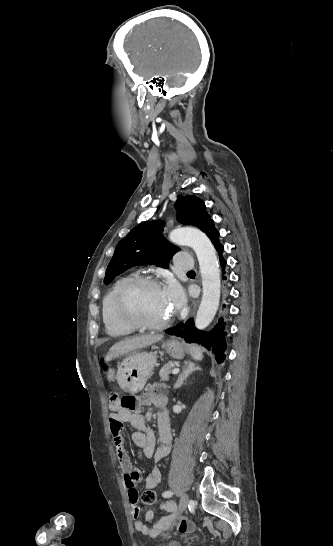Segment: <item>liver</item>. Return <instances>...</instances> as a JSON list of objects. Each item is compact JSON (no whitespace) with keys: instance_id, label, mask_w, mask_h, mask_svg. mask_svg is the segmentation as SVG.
I'll return each mask as SVG.
<instances>
[{"instance_id":"6515ba94","label":"liver","mask_w":333,"mask_h":546,"mask_svg":"<svg viewBox=\"0 0 333 546\" xmlns=\"http://www.w3.org/2000/svg\"><path fill=\"white\" fill-rule=\"evenodd\" d=\"M162 334L156 335H142L138 337L128 338L123 341H120L114 344L108 354L105 357V361H110L121 355L127 354L129 352L135 351L137 349L150 346L162 340Z\"/></svg>"}]
</instances>
